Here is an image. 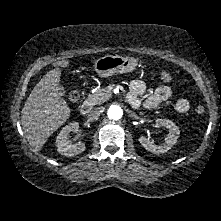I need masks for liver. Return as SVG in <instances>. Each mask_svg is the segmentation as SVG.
<instances>
[{"instance_id":"liver-1","label":"liver","mask_w":221,"mask_h":221,"mask_svg":"<svg viewBox=\"0 0 221 221\" xmlns=\"http://www.w3.org/2000/svg\"><path fill=\"white\" fill-rule=\"evenodd\" d=\"M60 76V68L47 72L31 91L22 109L23 131L34 151H39L70 116L71 110L60 94Z\"/></svg>"}]
</instances>
